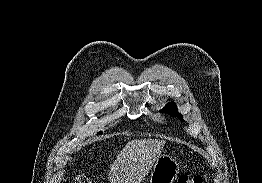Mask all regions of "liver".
I'll list each match as a JSON object with an SVG mask.
<instances>
[{
    "label": "liver",
    "mask_w": 262,
    "mask_h": 183,
    "mask_svg": "<svg viewBox=\"0 0 262 183\" xmlns=\"http://www.w3.org/2000/svg\"><path fill=\"white\" fill-rule=\"evenodd\" d=\"M164 140L135 139L117 155L108 175L111 183H141L161 156Z\"/></svg>",
    "instance_id": "6515ba94"
}]
</instances>
